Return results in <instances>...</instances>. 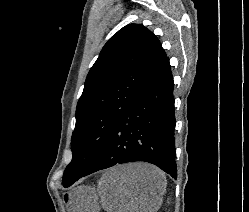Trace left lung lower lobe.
Returning a JSON list of instances; mask_svg holds the SVG:
<instances>
[{
	"label": "left lung lower lobe",
	"instance_id": "obj_1",
	"mask_svg": "<svg viewBox=\"0 0 249 212\" xmlns=\"http://www.w3.org/2000/svg\"><path fill=\"white\" fill-rule=\"evenodd\" d=\"M173 87L166 58L121 115L98 157L82 177L116 164L145 161L176 178Z\"/></svg>",
	"mask_w": 249,
	"mask_h": 212
}]
</instances>
